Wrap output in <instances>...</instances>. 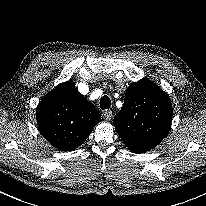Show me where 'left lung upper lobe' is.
I'll return each instance as SVG.
<instances>
[{"mask_svg": "<svg viewBox=\"0 0 206 206\" xmlns=\"http://www.w3.org/2000/svg\"><path fill=\"white\" fill-rule=\"evenodd\" d=\"M172 104L168 95L147 78L132 84L113 120L122 141L134 153L155 148L169 133Z\"/></svg>", "mask_w": 206, "mask_h": 206, "instance_id": "left-lung-upper-lobe-1", "label": "left lung upper lobe"}]
</instances>
